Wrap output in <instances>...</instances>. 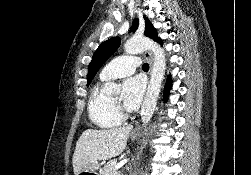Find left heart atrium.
Returning a JSON list of instances; mask_svg holds the SVG:
<instances>
[{
    "label": "left heart atrium",
    "mask_w": 251,
    "mask_h": 175,
    "mask_svg": "<svg viewBox=\"0 0 251 175\" xmlns=\"http://www.w3.org/2000/svg\"><path fill=\"white\" fill-rule=\"evenodd\" d=\"M145 84L140 76L127 78L122 85V102L129 111H135L143 98Z\"/></svg>",
    "instance_id": "1"
}]
</instances>
